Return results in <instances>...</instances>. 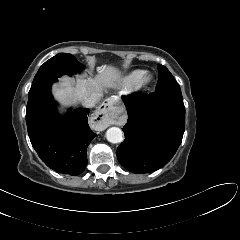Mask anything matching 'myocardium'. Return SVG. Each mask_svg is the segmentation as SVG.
Instances as JSON below:
<instances>
[{
    "label": "myocardium",
    "mask_w": 240,
    "mask_h": 240,
    "mask_svg": "<svg viewBox=\"0 0 240 240\" xmlns=\"http://www.w3.org/2000/svg\"><path fill=\"white\" fill-rule=\"evenodd\" d=\"M152 82V76L149 73H145L140 80L135 84L137 90L144 89L148 87Z\"/></svg>",
    "instance_id": "1"
}]
</instances>
